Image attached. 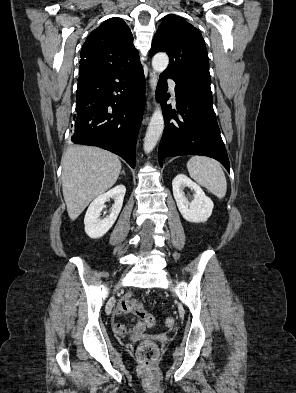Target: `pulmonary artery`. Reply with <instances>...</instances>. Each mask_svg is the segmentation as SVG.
Returning <instances> with one entry per match:
<instances>
[{"label": "pulmonary artery", "instance_id": "pulmonary-artery-1", "mask_svg": "<svg viewBox=\"0 0 296 393\" xmlns=\"http://www.w3.org/2000/svg\"><path fill=\"white\" fill-rule=\"evenodd\" d=\"M168 84H169L170 91H171L172 95L174 96V94H175V85H176V83H175L174 80L169 79V80H168Z\"/></svg>", "mask_w": 296, "mask_h": 393}]
</instances>
